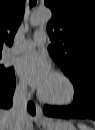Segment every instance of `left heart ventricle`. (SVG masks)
I'll return each instance as SVG.
<instances>
[{"label":"left heart ventricle","instance_id":"1","mask_svg":"<svg viewBox=\"0 0 95 130\" xmlns=\"http://www.w3.org/2000/svg\"><path fill=\"white\" fill-rule=\"evenodd\" d=\"M44 96L54 100H63L69 96L67 83L59 76L52 74L47 84L41 89Z\"/></svg>","mask_w":95,"mask_h":130}]
</instances>
